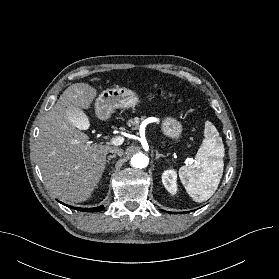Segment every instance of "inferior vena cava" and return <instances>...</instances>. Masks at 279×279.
Listing matches in <instances>:
<instances>
[{
	"mask_svg": "<svg viewBox=\"0 0 279 279\" xmlns=\"http://www.w3.org/2000/svg\"><path fill=\"white\" fill-rule=\"evenodd\" d=\"M110 152L114 153V154H118L119 156L123 155V150L121 148H118V147L111 148Z\"/></svg>",
	"mask_w": 279,
	"mask_h": 279,
	"instance_id": "602c4592",
	"label": "inferior vena cava"
}]
</instances>
